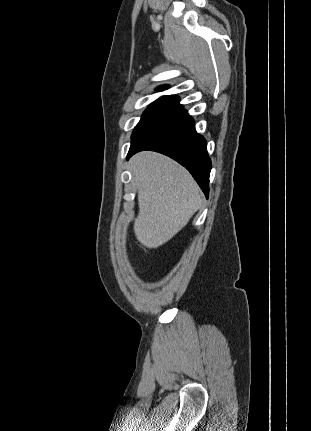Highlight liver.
Here are the masks:
<instances>
[{
    "instance_id": "6515ba94",
    "label": "liver",
    "mask_w": 311,
    "mask_h": 431,
    "mask_svg": "<svg viewBox=\"0 0 311 431\" xmlns=\"http://www.w3.org/2000/svg\"><path fill=\"white\" fill-rule=\"evenodd\" d=\"M129 170L138 190L134 233L142 245L159 247L200 210V188L183 166L155 152L133 156Z\"/></svg>"
}]
</instances>
